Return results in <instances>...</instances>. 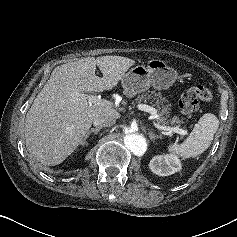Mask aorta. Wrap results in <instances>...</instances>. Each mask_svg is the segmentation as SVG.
<instances>
[{
  "label": "aorta",
  "mask_w": 237,
  "mask_h": 237,
  "mask_svg": "<svg viewBox=\"0 0 237 237\" xmlns=\"http://www.w3.org/2000/svg\"><path fill=\"white\" fill-rule=\"evenodd\" d=\"M124 143L136 155H142L147 147L145 138L131 129L126 131Z\"/></svg>",
  "instance_id": "1"
}]
</instances>
